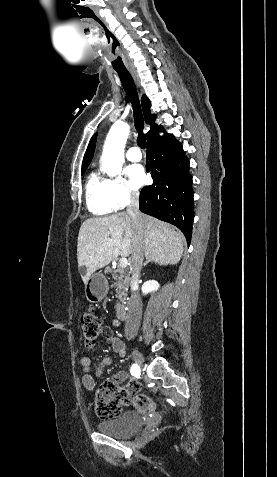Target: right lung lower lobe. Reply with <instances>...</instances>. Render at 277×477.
Wrapping results in <instances>:
<instances>
[{"label":"right lung lower lobe","mask_w":277,"mask_h":477,"mask_svg":"<svg viewBox=\"0 0 277 477\" xmlns=\"http://www.w3.org/2000/svg\"><path fill=\"white\" fill-rule=\"evenodd\" d=\"M189 168L182 145L171 134L148 142L146 169L154 182L143 188L139 197L142 212L178 227L188 245L194 221Z\"/></svg>","instance_id":"right-lung-lower-lobe-1"}]
</instances>
